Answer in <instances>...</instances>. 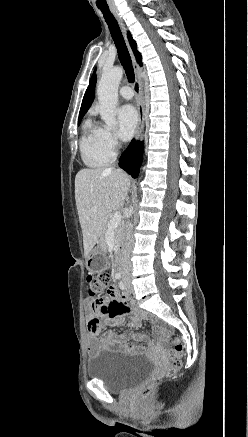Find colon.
I'll list each match as a JSON object with an SVG mask.
<instances>
[{
    "instance_id": "colon-1",
    "label": "colon",
    "mask_w": 248,
    "mask_h": 437,
    "mask_svg": "<svg viewBox=\"0 0 248 437\" xmlns=\"http://www.w3.org/2000/svg\"><path fill=\"white\" fill-rule=\"evenodd\" d=\"M110 281V276L107 272L91 273L87 277L89 294H101L105 290ZM183 353V344L179 339H174L173 347L169 351L170 363L165 370V376L175 374L182 365L181 355ZM157 382L147 384L141 391L142 398H148L156 387Z\"/></svg>"
}]
</instances>
